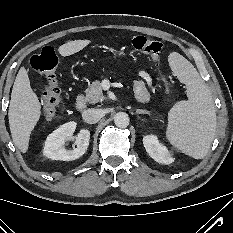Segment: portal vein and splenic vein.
<instances>
[{
	"label": "portal vein and splenic vein",
	"instance_id": "obj_1",
	"mask_svg": "<svg viewBox=\"0 0 233 233\" xmlns=\"http://www.w3.org/2000/svg\"><path fill=\"white\" fill-rule=\"evenodd\" d=\"M102 87L105 89V90H108L109 87H110V83L109 81L105 80L102 84Z\"/></svg>",
	"mask_w": 233,
	"mask_h": 233
}]
</instances>
